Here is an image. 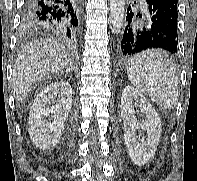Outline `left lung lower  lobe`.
Listing matches in <instances>:
<instances>
[{
	"label": "left lung lower lobe",
	"instance_id": "0a47b994",
	"mask_svg": "<svg viewBox=\"0 0 197 181\" xmlns=\"http://www.w3.org/2000/svg\"><path fill=\"white\" fill-rule=\"evenodd\" d=\"M146 3L144 17L140 13L136 15L131 6L128 7L126 26L118 45L121 59L151 48L177 52V0H146ZM135 17L143 18L142 23H135Z\"/></svg>",
	"mask_w": 197,
	"mask_h": 181
}]
</instances>
